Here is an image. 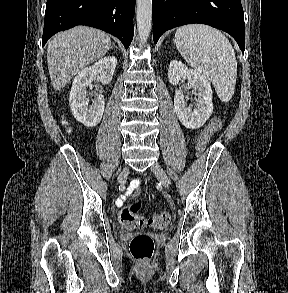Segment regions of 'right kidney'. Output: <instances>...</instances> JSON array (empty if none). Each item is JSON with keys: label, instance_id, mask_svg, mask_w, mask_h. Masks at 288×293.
Instances as JSON below:
<instances>
[{"label": "right kidney", "instance_id": "obj_1", "mask_svg": "<svg viewBox=\"0 0 288 293\" xmlns=\"http://www.w3.org/2000/svg\"><path fill=\"white\" fill-rule=\"evenodd\" d=\"M117 65L114 56L104 57L94 65L82 69L74 78L70 91V107L74 117L87 127L96 126L102 119L105 102L102 95H97L92 106L88 107L86 88L97 77L103 85L109 84Z\"/></svg>", "mask_w": 288, "mask_h": 293}]
</instances>
